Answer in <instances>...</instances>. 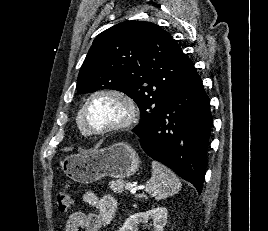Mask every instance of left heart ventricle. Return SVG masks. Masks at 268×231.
<instances>
[{
    "mask_svg": "<svg viewBox=\"0 0 268 231\" xmlns=\"http://www.w3.org/2000/svg\"><path fill=\"white\" fill-rule=\"evenodd\" d=\"M124 106L110 96H99L92 100L87 109V119L93 128H104L124 117Z\"/></svg>",
    "mask_w": 268,
    "mask_h": 231,
    "instance_id": "obj_1",
    "label": "left heart ventricle"
}]
</instances>
